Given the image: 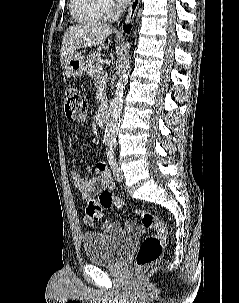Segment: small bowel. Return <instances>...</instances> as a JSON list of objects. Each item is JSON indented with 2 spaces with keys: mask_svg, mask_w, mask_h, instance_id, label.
I'll list each match as a JSON object with an SVG mask.
<instances>
[{
  "mask_svg": "<svg viewBox=\"0 0 239 303\" xmlns=\"http://www.w3.org/2000/svg\"><path fill=\"white\" fill-rule=\"evenodd\" d=\"M71 142V138H69ZM95 177L83 178L78 170H73L71 175L74 180L75 187L81 192L82 198L88 201L94 197L96 192L103 189H114L115 185L107 166L103 162H99L94 167ZM85 222L92 224V220L85 218ZM136 224L132 220H126L123 225L114 221H105L101 225V229L105 233L119 234L122 231H131L135 229Z\"/></svg>",
  "mask_w": 239,
  "mask_h": 303,
  "instance_id": "small-bowel-1",
  "label": "small bowel"
}]
</instances>
